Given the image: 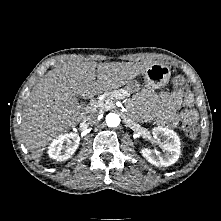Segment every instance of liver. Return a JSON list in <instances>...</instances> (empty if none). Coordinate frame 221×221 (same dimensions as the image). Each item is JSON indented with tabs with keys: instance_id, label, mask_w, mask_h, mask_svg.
Wrapping results in <instances>:
<instances>
[{
	"instance_id": "liver-1",
	"label": "liver",
	"mask_w": 221,
	"mask_h": 221,
	"mask_svg": "<svg viewBox=\"0 0 221 221\" xmlns=\"http://www.w3.org/2000/svg\"><path fill=\"white\" fill-rule=\"evenodd\" d=\"M148 66L74 61L47 72L33 87L21 117L22 140L32 158L39 162L50 141L81 122L82 107L77 97L89 99L124 86Z\"/></svg>"
}]
</instances>
